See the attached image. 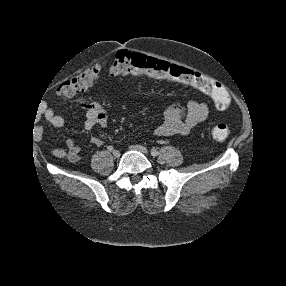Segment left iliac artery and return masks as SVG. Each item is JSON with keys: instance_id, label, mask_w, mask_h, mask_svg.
Returning a JSON list of instances; mask_svg holds the SVG:
<instances>
[{"instance_id": "obj_1", "label": "left iliac artery", "mask_w": 286, "mask_h": 286, "mask_svg": "<svg viewBox=\"0 0 286 286\" xmlns=\"http://www.w3.org/2000/svg\"><path fill=\"white\" fill-rule=\"evenodd\" d=\"M159 154V151L155 148L151 149V155L152 156H157Z\"/></svg>"}]
</instances>
